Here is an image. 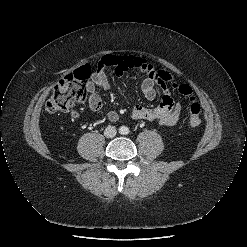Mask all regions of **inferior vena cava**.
Masks as SVG:
<instances>
[{
    "mask_svg": "<svg viewBox=\"0 0 247 247\" xmlns=\"http://www.w3.org/2000/svg\"><path fill=\"white\" fill-rule=\"evenodd\" d=\"M116 133H117L116 128L114 126H110V125L104 131V135L107 138L115 137Z\"/></svg>",
    "mask_w": 247,
    "mask_h": 247,
    "instance_id": "602c4592",
    "label": "inferior vena cava"
}]
</instances>
